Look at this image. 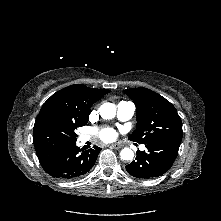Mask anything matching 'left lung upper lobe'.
Returning <instances> with one entry per match:
<instances>
[{"label": "left lung upper lobe", "mask_w": 221, "mask_h": 221, "mask_svg": "<svg viewBox=\"0 0 221 221\" xmlns=\"http://www.w3.org/2000/svg\"><path fill=\"white\" fill-rule=\"evenodd\" d=\"M136 105V130L128 137L142 144L168 142L180 145L182 123L175 107L164 97L146 88L126 89Z\"/></svg>", "instance_id": "5c2ea615"}]
</instances>
